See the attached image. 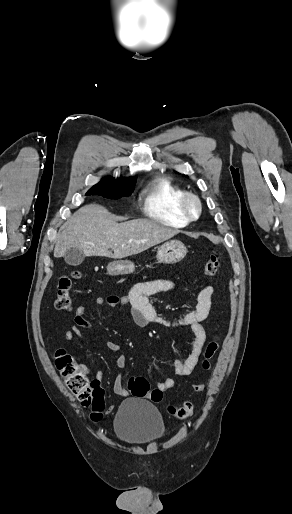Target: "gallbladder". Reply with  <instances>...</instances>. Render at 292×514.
Wrapping results in <instances>:
<instances>
[{"label":"gallbladder","instance_id":"bac80fb5","mask_svg":"<svg viewBox=\"0 0 292 514\" xmlns=\"http://www.w3.org/2000/svg\"><path fill=\"white\" fill-rule=\"evenodd\" d=\"M63 258L69 266H79V264L84 262L85 254H83L80 248H68Z\"/></svg>","mask_w":292,"mask_h":514}]
</instances>
